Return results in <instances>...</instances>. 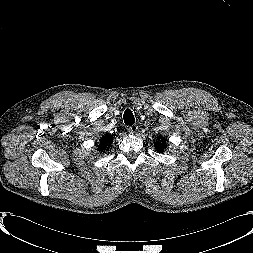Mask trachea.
<instances>
[{
	"instance_id": "1",
	"label": "trachea",
	"mask_w": 253,
	"mask_h": 253,
	"mask_svg": "<svg viewBox=\"0 0 253 253\" xmlns=\"http://www.w3.org/2000/svg\"><path fill=\"white\" fill-rule=\"evenodd\" d=\"M123 119H124V123H125L126 125H133L134 122H135L133 113H132V111H131L130 109H127V110L124 112Z\"/></svg>"
}]
</instances>
